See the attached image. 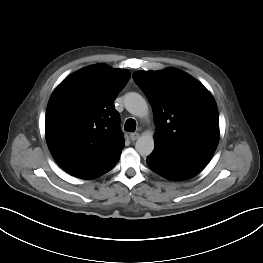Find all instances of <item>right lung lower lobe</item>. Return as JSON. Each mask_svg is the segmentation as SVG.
Wrapping results in <instances>:
<instances>
[{"mask_svg": "<svg viewBox=\"0 0 263 263\" xmlns=\"http://www.w3.org/2000/svg\"><path fill=\"white\" fill-rule=\"evenodd\" d=\"M118 160H119V157L116 160H114L111 164H109L108 166L104 167L103 169H101L99 171H95V172H91V173L85 174L83 176H80L79 178H82V179L97 178V177L107 173L108 171H110L116 165Z\"/></svg>", "mask_w": 263, "mask_h": 263, "instance_id": "right-lung-lower-lobe-1", "label": "right lung lower lobe"}]
</instances>
